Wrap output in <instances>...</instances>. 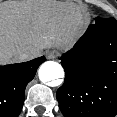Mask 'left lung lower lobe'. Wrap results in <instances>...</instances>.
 I'll use <instances>...</instances> for the list:
<instances>
[{
  "label": "left lung lower lobe",
  "mask_w": 117,
  "mask_h": 117,
  "mask_svg": "<svg viewBox=\"0 0 117 117\" xmlns=\"http://www.w3.org/2000/svg\"><path fill=\"white\" fill-rule=\"evenodd\" d=\"M65 80L56 93L65 117L117 114V21L97 18L62 55Z\"/></svg>",
  "instance_id": "0a47b994"
}]
</instances>
